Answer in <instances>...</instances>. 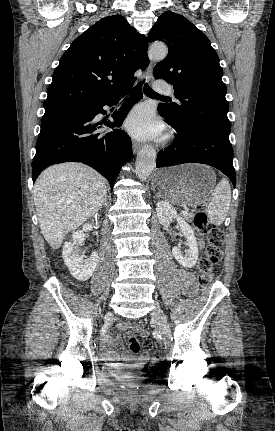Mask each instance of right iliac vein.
Returning <instances> with one entry per match:
<instances>
[{"mask_svg": "<svg viewBox=\"0 0 275 431\" xmlns=\"http://www.w3.org/2000/svg\"><path fill=\"white\" fill-rule=\"evenodd\" d=\"M110 316H111V313L107 314V317H110Z\"/></svg>", "mask_w": 275, "mask_h": 431, "instance_id": "right-iliac-vein-1", "label": "right iliac vein"}]
</instances>
